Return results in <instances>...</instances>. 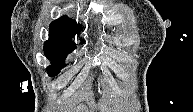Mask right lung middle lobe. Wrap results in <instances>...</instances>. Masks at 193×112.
<instances>
[{
	"mask_svg": "<svg viewBox=\"0 0 193 112\" xmlns=\"http://www.w3.org/2000/svg\"><path fill=\"white\" fill-rule=\"evenodd\" d=\"M74 49L75 45L70 42H45V56L52 62V65L47 68L49 76L54 77L60 72V69L64 67L63 62L65 58Z\"/></svg>",
	"mask_w": 193,
	"mask_h": 112,
	"instance_id": "right-lung-middle-lobe-1",
	"label": "right lung middle lobe"
}]
</instances>
